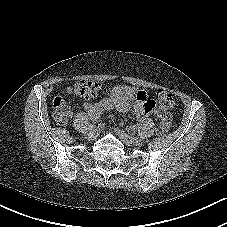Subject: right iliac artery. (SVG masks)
<instances>
[{"label": "right iliac artery", "mask_w": 227, "mask_h": 227, "mask_svg": "<svg viewBox=\"0 0 227 227\" xmlns=\"http://www.w3.org/2000/svg\"><path fill=\"white\" fill-rule=\"evenodd\" d=\"M101 121H102L101 118L96 116L95 117V123L93 124L94 127H96V128L99 127V125H100L99 123H101ZM87 128H90V127H87Z\"/></svg>", "instance_id": "1"}]
</instances>
